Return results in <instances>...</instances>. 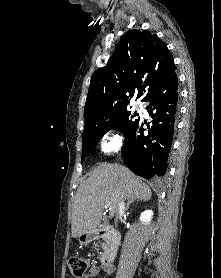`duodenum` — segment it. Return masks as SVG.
<instances>
[{
    "mask_svg": "<svg viewBox=\"0 0 221 278\" xmlns=\"http://www.w3.org/2000/svg\"><path fill=\"white\" fill-rule=\"evenodd\" d=\"M98 238H104L108 241L107 248L100 257V262L104 268H109L118 250L120 239L119 233L115 228L105 226L98 228L95 231L88 232L82 236V239L85 242H89Z\"/></svg>",
    "mask_w": 221,
    "mask_h": 278,
    "instance_id": "1",
    "label": "duodenum"
}]
</instances>
